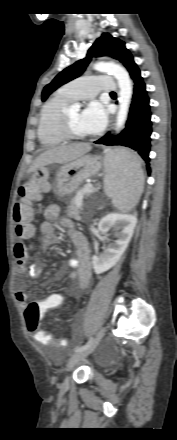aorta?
<instances>
[{
	"mask_svg": "<svg viewBox=\"0 0 177 440\" xmlns=\"http://www.w3.org/2000/svg\"><path fill=\"white\" fill-rule=\"evenodd\" d=\"M93 68L99 72L111 73L117 79L120 92H119V109L116 120V130L120 131L127 120L129 106L131 103V98L133 93L130 76L123 67L114 63L98 62L94 64ZM79 108L80 105L77 103L72 106V109L76 111L79 110Z\"/></svg>",
	"mask_w": 177,
	"mask_h": 440,
	"instance_id": "aorta-1",
	"label": "aorta"
}]
</instances>
